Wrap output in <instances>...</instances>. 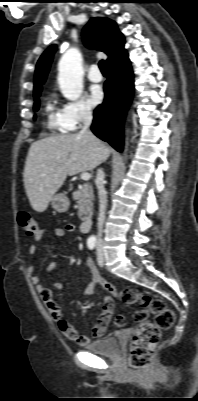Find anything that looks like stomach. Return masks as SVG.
<instances>
[{
	"instance_id": "stomach-1",
	"label": "stomach",
	"mask_w": 198,
	"mask_h": 401,
	"mask_svg": "<svg viewBox=\"0 0 198 401\" xmlns=\"http://www.w3.org/2000/svg\"><path fill=\"white\" fill-rule=\"evenodd\" d=\"M51 206L57 212H66L70 206V201L64 193L55 194L51 199Z\"/></svg>"
}]
</instances>
